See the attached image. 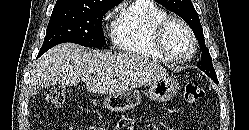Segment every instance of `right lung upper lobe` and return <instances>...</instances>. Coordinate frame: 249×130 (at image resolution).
Returning <instances> with one entry per match:
<instances>
[{"mask_svg": "<svg viewBox=\"0 0 249 130\" xmlns=\"http://www.w3.org/2000/svg\"><path fill=\"white\" fill-rule=\"evenodd\" d=\"M122 0H57L55 6L66 5L78 8L99 9L116 6Z\"/></svg>", "mask_w": 249, "mask_h": 130, "instance_id": "cb5924a9", "label": "right lung upper lobe"}]
</instances>
